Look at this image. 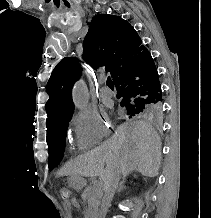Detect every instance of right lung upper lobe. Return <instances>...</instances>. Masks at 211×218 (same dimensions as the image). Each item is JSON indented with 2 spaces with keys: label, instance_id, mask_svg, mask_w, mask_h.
Listing matches in <instances>:
<instances>
[{
  "label": "right lung upper lobe",
  "instance_id": "right-lung-upper-lobe-1",
  "mask_svg": "<svg viewBox=\"0 0 211 218\" xmlns=\"http://www.w3.org/2000/svg\"><path fill=\"white\" fill-rule=\"evenodd\" d=\"M147 49L134 28L119 16L99 14L93 17L83 42V58L94 69L106 66L114 79L117 73ZM81 75L73 57L63 58L47 83V134L62 117L73 112L72 87Z\"/></svg>",
  "mask_w": 211,
  "mask_h": 218
}]
</instances>
